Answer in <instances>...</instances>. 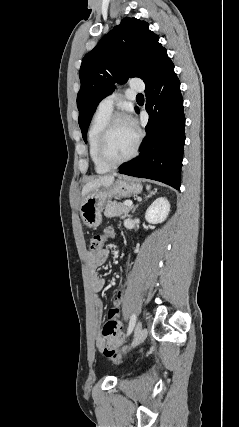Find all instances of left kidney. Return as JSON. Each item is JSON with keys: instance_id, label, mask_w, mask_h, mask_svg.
I'll use <instances>...</instances> for the list:
<instances>
[{"instance_id": "obj_1", "label": "left kidney", "mask_w": 239, "mask_h": 427, "mask_svg": "<svg viewBox=\"0 0 239 427\" xmlns=\"http://www.w3.org/2000/svg\"><path fill=\"white\" fill-rule=\"evenodd\" d=\"M170 212V203L164 198H157L147 209L145 219L152 224L162 223Z\"/></svg>"}]
</instances>
